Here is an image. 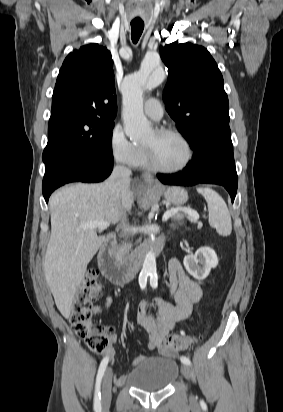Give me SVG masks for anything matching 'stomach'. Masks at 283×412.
Listing matches in <instances>:
<instances>
[{"label": "stomach", "instance_id": "0dacf381", "mask_svg": "<svg viewBox=\"0 0 283 412\" xmlns=\"http://www.w3.org/2000/svg\"><path fill=\"white\" fill-rule=\"evenodd\" d=\"M164 198L173 205H183L188 200V193L181 187H168L161 190Z\"/></svg>", "mask_w": 283, "mask_h": 412}]
</instances>
